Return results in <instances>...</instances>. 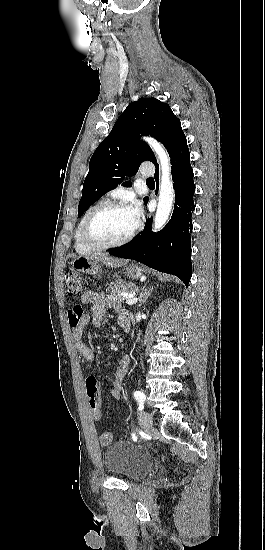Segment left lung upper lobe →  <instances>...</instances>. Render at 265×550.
I'll return each instance as SVG.
<instances>
[{"instance_id":"5c2ea615","label":"left lung upper lobe","mask_w":265,"mask_h":550,"mask_svg":"<svg viewBox=\"0 0 265 550\" xmlns=\"http://www.w3.org/2000/svg\"><path fill=\"white\" fill-rule=\"evenodd\" d=\"M140 134H150L159 140L170 157L186 141L180 120L168 104L155 98H140L130 103L90 159L78 217L106 192L121 183L126 175L136 174L143 161H151L158 168L151 148L136 139ZM124 186L129 187L131 183L126 182ZM144 200L147 201L148 198Z\"/></svg>"}]
</instances>
